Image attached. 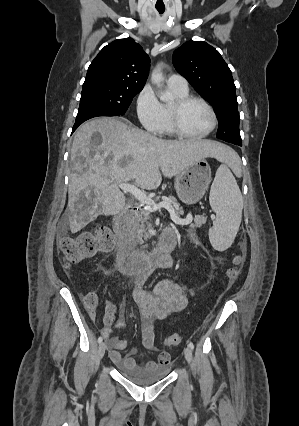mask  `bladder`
Returning a JSON list of instances; mask_svg holds the SVG:
<instances>
[{
	"mask_svg": "<svg viewBox=\"0 0 299 426\" xmlns=\"http://www.w3.org/2000/svg\"><path fill=\"white\" fill-rule=\"evenodd\" d=\"M169 373L167 366L123 369L121 374L129 381L138 385H151L164 379Z\"/></svg>",
	"mask_w": 299,
	"mask_h": 426,
	"instance_id": "bladder-1",
	"label": "bladder"
}]
</instances>
